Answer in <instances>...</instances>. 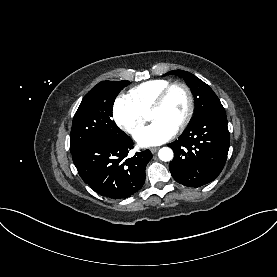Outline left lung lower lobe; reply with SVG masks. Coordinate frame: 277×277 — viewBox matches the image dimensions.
Segmentation results:
<instances>
[{"label": "left lung lower lobe", "mask_w": 277, "mask_h": 277, "mask_svg": "<svg viewBox=\"0 0 277 277\" xmlns=\"http://www.w3.org/2000/svg\"><path fill=\"white\" fill-rule=\"evenodd\" d=\"M229 143L225 109L222 104L213 106L168 145L175 154L169 164L171 175L188 187H200L213 181L225 165Z\"/></svg>", "instance_id": "0a47b994"}]
</instances>
